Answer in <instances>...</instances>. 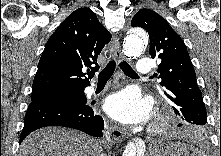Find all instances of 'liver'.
I'll return each instance as SVG.
<instances>
[{
  "label": "liver",
  "instance_id": "obj_1",
  "mask_svg": "<svg viewBox=\"0 0 221 156\" xmlns=\"http://www.w3.org/2000/svg\"><path fill=\"white\" fill-rule=\"evenodd\" d=\"M96 139L76 130L46 127L29 134L21 143L19 156H99Z\"/></svg>",
  "mask_w": 221,
  "mask_h": 156
}]
</instances>
